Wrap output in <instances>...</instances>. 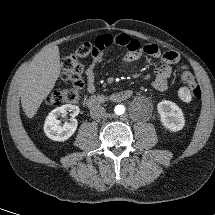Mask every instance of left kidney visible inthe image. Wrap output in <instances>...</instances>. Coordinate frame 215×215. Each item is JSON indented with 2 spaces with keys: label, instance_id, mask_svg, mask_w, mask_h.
I'll return each mask as SVG.
<instances>
[{
  "label": "left kidney",
  "instance_id": "1",
  "mask_svg": "<svg viewBox=\"0 0 215 215\" xmlns=\"http://www.w3.org/2000/svg\"><path fill=\"white\" fill-rule=\"evenodd\" d=\"M161 123L170 131L177 132L183 129L185 118L182 110L174 102L163 100L157 105Z\"/></svg>",
  "mask_w": 215,
  "mask_h": 215
}]
</instances>
